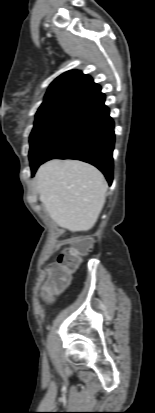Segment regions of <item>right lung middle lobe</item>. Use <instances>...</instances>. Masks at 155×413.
Masks as SVG:
<instances>
[{"label":"right lung middle lobe","instance_id":"obj_1","mask_svg":"<svg viewBox=\"0 0 155 413\" xmlns=\"http://www.w3.org/2000/svg\"><path fill=\"white\" fill-rule=\"evenodd\" d=\"M78 106H66L37 117L30 135V165H36L59 140Z\"/></svg>","mask_w":155,"mask_h":413}]
</instances>
